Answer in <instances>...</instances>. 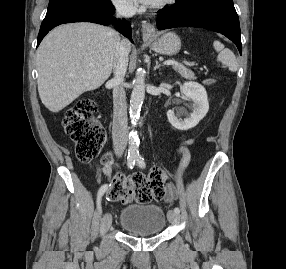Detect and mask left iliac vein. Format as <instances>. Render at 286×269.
Here are the masks:
<instances>
[{
  "instance_id": "1",
  "label": "left iliac vein",
  "mask_w": 286,
  "mask_h": 269,
  "mask_svg": "<svg viewBox=\"0 0 286 269\" xmlns=\"http://www.w3.org/2000/svg\"><path fill=\"white\" fill-rule=\"evenodd\" d=\"M168 220H169V222H171L173 224L177 223L179 220L178 213H176L172 210L168 211Z\"/></svg>"
}]
</instances>
